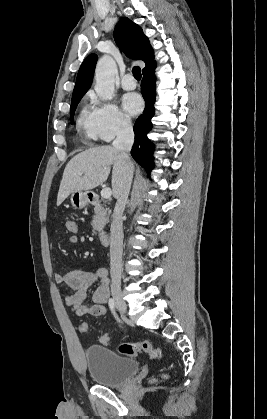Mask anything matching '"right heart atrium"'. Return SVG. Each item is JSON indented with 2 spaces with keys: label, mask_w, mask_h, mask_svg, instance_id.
Returning <instances> with one entry per match:
<instances>
[{
  "label": "right heart atrium",
  "mask_w": 267,
  "mask_h": 419,
  "mask_svg": "<svg viewBox=\"0 0 267 419\" xmlns=\"http://www.w3.org/2000/svg\"><path fill=\"white\" fill-rule=\"evenodd\" d=\"M95 105L98 136L103 141H110L117 135L129 131L131 119L112 102L92 98Z\"/></svg>",
  "instance_id": "right-heart-atrium-1"
}]
</instances>
